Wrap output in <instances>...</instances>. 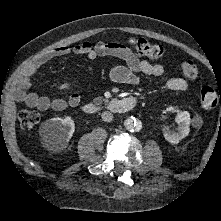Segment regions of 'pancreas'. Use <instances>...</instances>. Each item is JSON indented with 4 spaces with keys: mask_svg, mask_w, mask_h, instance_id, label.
Segmentation results:
<instances>
[{
    "mask_svg": "<svg viewBox=\"0 0 221 221\" xmlns=\"http://www.w3.org/2000/svg\"><path fill=\"white\" fill-rule=\"evenodd\" d=\"M103 101H105L104 98L102 97H96L93 99V102L96 104V105H100Z\"/></svg>",
    "mask_w": 221,
    "mask_h": 221,
    "instance_id": "cf45deb5",
    "label": "pancreas"
}]
</instances>
